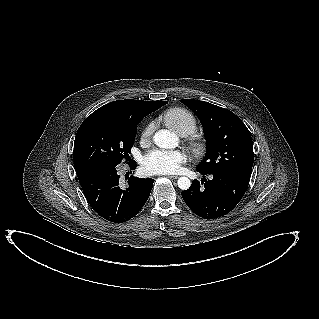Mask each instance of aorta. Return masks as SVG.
<instances>
[{
    "instance_id": "obj_1",
    "label": "aorta",
    "mask_w": 319,
    "mask_h": 319,
    "mask_svg": "<svg viewBox=\"0 0 319 319\" xmlns=\"http://www.w3.org/2000/svg\"><path fill=\"white\" fill-rule=\"evenodd\" d=\"M153 140L155 144L160 148H175L178 145L177 136L169 130L165 129L156 132L153 136ZM177 184L181 190H187L191 186V181L187 177H180Z\"/></svg>"
}]
</instances>
